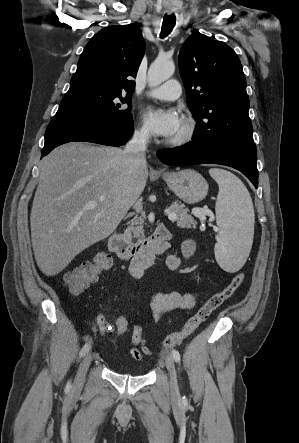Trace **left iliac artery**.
I'll return each mask as SVG.
<instances>
[{
    "label": "left iliac artery",
    "mask_w": 299,
    "mask_h": 443,
    "mask_svg": "<svg viewBox=\"0 0 299 443\" xmlns=\"http://www.w3.org/2000/svg\"><path fill=\"white\" fill-rule=\"evenodd\" d=\"M172 355L176 362H180V354L177 350H172ZM183 399H185V396Z\"/></svg>",
    "instance_id": "obj_1"
}]
</instances>
